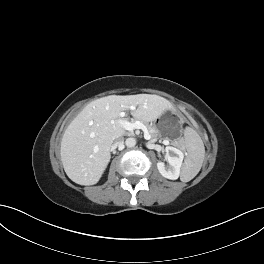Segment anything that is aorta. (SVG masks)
I'll return each mask as SVG.
<instances>
[{
    "mask_svg": "<svg viewBox=\"0 0 264 264\" xmlns=\"http://www.w3.org/2000/svg\"><path fill=\"white\" fill-rule=\"evenodd\" d=\"M125 144L127 147L132 148L136 145V139L133 137L127 138Z\"/></svg>",
    "mask_w": 264,
    "mask_h": 264,
    "instance_id": "762f6f07",
    "label": "aorta"
}]
</instances>
